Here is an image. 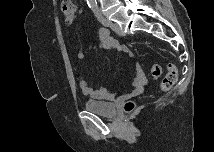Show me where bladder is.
I'll return each mask as SVG.
<instances>
[{"label": "bladder", "instance_id": "1", "mask_svg": "<svg viewBox=\"0 0 215 152\" xmlns=\"http://www.w3.org/2000/svg\"><path fill=\"white\" fill-rule=\"evenodd\" d=\"M84 108L89 112L105 117H114L117 113L116 105L111 102L86 100L84 102Z\"/></svg>", "mask_w": 215, "mask_h": 152}]
</instances>
